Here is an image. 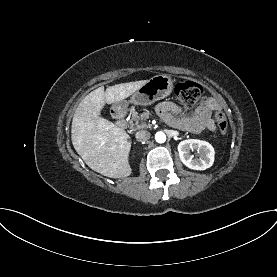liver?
<instances>
[{"instance_id":"obj_1","label":"liver","mask_w":277,"mask_h":277,"mask_svg":"<svg viewBox=\"0 0 277 277\" xmlns=\"http://www.w3.org/2000/svg\"><path fill=\"white\" fill-rule=\"evenodd\" d=\"M148 80L99 87L78 105L72 120L71 139L76 152L94 171L110 178L131 174L128 156L130 136L111 121L100 117L105 103L122 101Z\"/></svg>"}]
</instances>
